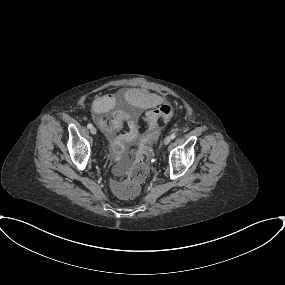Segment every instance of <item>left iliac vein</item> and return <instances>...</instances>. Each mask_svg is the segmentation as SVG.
Here are the masks:
<instances>
[{"label": "left iliac vein", "mask_w": 285, "mask_h": 285, "mask_svg": "<svg viewBox=\"0 0 285 285\" xmlns=\"http://www.w3.org/2000/svg\"><path fill=\"white\" fill-rule=\"evenodd\" d=\"M170 141H171V137L170 136H167V137H165V139H164V145H168L169 143H170Z\"/></svg>", "instance_id": "4c4485c4"}]
</instances>
